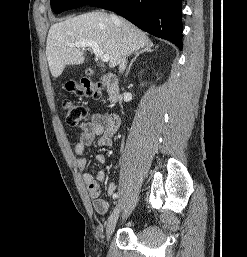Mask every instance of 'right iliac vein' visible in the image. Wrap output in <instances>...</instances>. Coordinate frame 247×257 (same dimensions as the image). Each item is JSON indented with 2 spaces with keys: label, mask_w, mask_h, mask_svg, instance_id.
Returning <instances> with one entry per match:
<instances>
[{
  "label": "right iliac vein",
  "mask_w": 247,
  "mask_h": 257,
  "mask_svg": "<svg viewBox=\"0 0 247 257\" xmlns=\"http://www.w3.org/2000/svg\"><path fill=\"white\" fill-rule=\"evenodd\" d=\"M121 209H122V201L119 199L116 202V206H115L113 212L111 213V215L108 219V223H107V226H106V236H107V238L110 237V235L113 233V231L115 229V226H116L117 220L119 218Z\"/></svg>",
  "instance_id": "63e3f726"
}]
</instances>
